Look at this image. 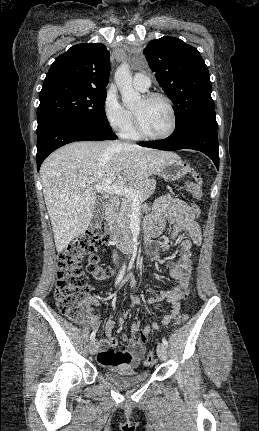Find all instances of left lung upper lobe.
I'll return each mask as SVG.
<instances>
[{"label": "left lung upper lobe", "instance_id": "1", "mask_svg": "<svg viewBox=\"0 0 259 431\" xmlns=\"http://www.w3.org/2000/svg\"><path fill=\"white\" fill-rule=\"evenodd\" d=\"M143 53L174 104L175 129L192 122L217 125L209 71L196 48L165 36L149 42Z\"/></svg>", "mask_w": 259, "mask_h": 431}]
</instances>
